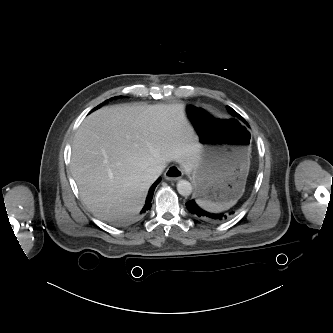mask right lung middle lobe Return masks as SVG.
I'll use <instances>...</instances> for the list:
<instances>
[{
  "instance_id": "dd1d6c3e",
  "label": "right lung middle lobe",
  "mask_w": 333,
  "mask_h": 333,
  "mask_svg": "<svg viewBox=\"0 0 333 333\" xmlns=\"http://www.w3.org/2000/svg\"><path fill=\"white\" fill-rule=\"evenodd\" d=\"M99 107H101V104H100L99 106H97L96 108H94L92 111L98 109ZM92 111H91V112H92Z\"/></svg>"
}]
</instances>
